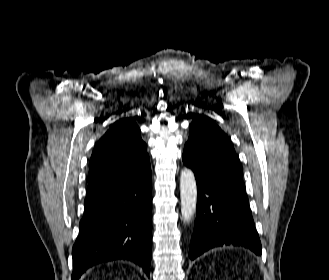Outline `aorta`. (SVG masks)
Segmentation results:
<instances>
[{"label":"aorta","instance_id":"762f6f07","mask_svg":"<svg viewBox=\"0 0 329 280\" xmlns=\"http://www.w3.org/2000/svg\"><path fill=\"white\" fill-rule=\"evenodd\" d=\"M181 214L184 223H188L196 211L197 185L194 173L185 168L180 176Z\"/></svg>","mask_w":329,"mask_h":280}]
</instances>
